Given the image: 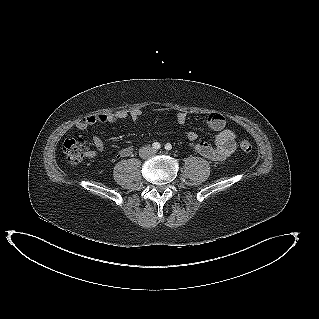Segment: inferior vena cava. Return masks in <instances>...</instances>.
Instances as JSON below:
<instances>
[{
  "label": "inferior vena cava",
  "mask_w": 319,
  "mask_h": 319,
  "mask_svg": "<svg viewBox=\"0 0 319 319\" xmlns=\"http://www.w3.org/2000/svg\"><path fill=\"white\" fill-rule=\"evenodd\" d=\"M148 149H150L151 151L153 150V149H151L150 147H148Z\"/></svg>",
  "instance_id": "1"
}]
</instances>
